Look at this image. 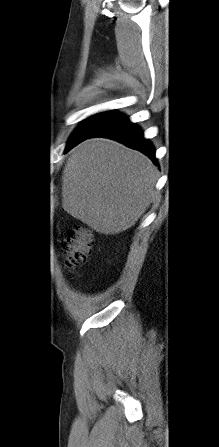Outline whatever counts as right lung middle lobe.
Returning <instances> with one entry per match:
<instances>
[{
    "label": "right lung middle lobe",
    "mask_w": 219,
    "mask_h": 447,
    "mask_svg": "<svg viewBox=\"0 0 219 447\" xmlns=\"http://www.w3.org/2000/svg\"><path fill=\"white\" fill-rule=\"evenodd\" d=\"M121 117L122 116L120 114H117L114 111H106L87 118L70 137L68 146L76 144L77 142L92 136Z\"/></svg>",
    "instance_id": "1"
}]
</instances>
